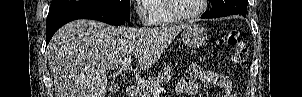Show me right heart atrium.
<instances>
[{
    "instance_id": "right-heart-atrium-1",
    "label": "right heart atrium",
    "mask_w": 302,
    "mask_h": 97,
    "mask_svg": "<svg viewBox=\"0 0 302 97\" xmlns=\"http://www.w3.org/2000/svg\"><path fill=\"white\" fill-rule=\"evenodd\" d=\"M136 14L139 21L143 24H153L155 22V16L148 7L153 1L152 0H137L135 1Z\"/></svg>"
}]
</instances>
